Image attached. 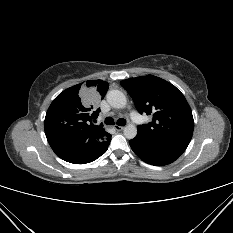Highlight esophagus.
<instances>
[{
    "instance_id": "obj_1",
    "label": "esophagus",
    "mask_w": 233,
    "mask_h": 233,
    "mask_svg": "<svg viewBox=\"0 0 233 233\" xmlns=\"http://www.w3.org/2000/svg\"><path fill=\"white\" fill-rule=\"evenodd\" d=\"M114 129L117 130V131H122L124 129V127L123 126H119V125H115Z\"/></svg>"
}]
</instances>
